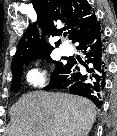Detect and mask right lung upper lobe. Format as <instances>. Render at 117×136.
<instances>
[{
	"instance_id": "right-lung-upper-lobe-1",
	"label": "right lung upper lobe",
	"mask_w": 117,
	"mask_h": 136,
	"mask_svg": "<svg viewBox=\"0 0 117 136\" xmlns=\"http://www.w3.org/2000/svg\"><path fill=\"white\" fill-rule=\"evenodd\" d=\"M37 13V22L30 24L23 35L12 61V70L16 67L46 57L51 51L44 36H58L64 29H70L72 41L76 42L80 35L90 29L98 20L86 0H32ZM37 26L42 33L38 32ZM59 45V41L55 43Z\"/></svg>"
}]
</instances>
